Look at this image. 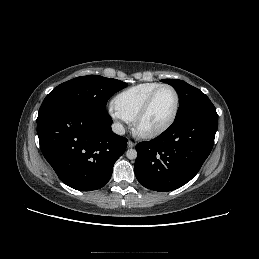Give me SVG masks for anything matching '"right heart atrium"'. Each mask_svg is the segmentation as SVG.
Wrapping results in <instances>:
<instances>
[{
  "label": "right heart atrium",
  "instance_id": "d8ad5b80",
  "mask_svg": "<svg viewBox=\"0 0 259 259\" xmlns=\"http://www.w3.org/2000/svg\"><path fill=\"white\" fill-rule=\"evenodd\" d=\"M109 115L119 125L120 128H122L123 125L128 122L114 107H110Z\"/></svg>",
  "mask_w": 259,
  "mask_h": 259
}]
</instances>
